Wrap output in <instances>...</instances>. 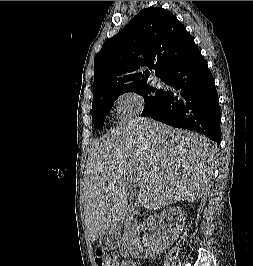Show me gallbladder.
<instances>
[{
  "instance_id": "bac80fb5",
  "label": "gallbladder",
  "mask_w": 253,
  "mask_h": 266,
  "mask_svg": "<svg viewBox=\"0 0 253 266\" xmlns=\"http://www.w3.org/2000/svg\"><path fill=\"white\" fill-rule=\"evenodd\" d=\"M126 188H127V190L129 189V184L127 183V185H126Z\"/></svg>"
}]
</instances>
